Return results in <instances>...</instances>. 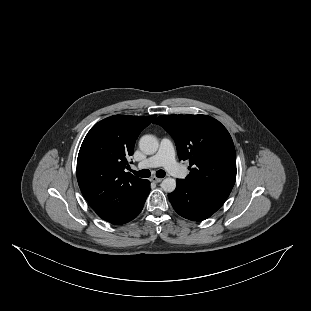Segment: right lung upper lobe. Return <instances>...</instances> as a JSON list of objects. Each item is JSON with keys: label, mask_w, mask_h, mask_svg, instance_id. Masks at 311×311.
<instances>
[{"label": "right lung upper lobe", "mask_w": 311, "mask_h": 311, "mask_svg": "<svg viewBox=\"0 0 311 311\" xmlns=\"http://www.w3.org/2000/svg\"><path fill=\"white\" fill-rule=\"evenodd\" d=\"M156 115H114L95 124L81 145L77 180L94 211L105 218L124 207L144 180L124 171L140 132Z\"/></svg>", "instance_id": "cb5924a9"}]
</instances>
